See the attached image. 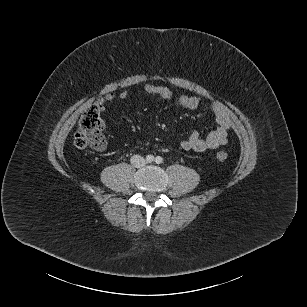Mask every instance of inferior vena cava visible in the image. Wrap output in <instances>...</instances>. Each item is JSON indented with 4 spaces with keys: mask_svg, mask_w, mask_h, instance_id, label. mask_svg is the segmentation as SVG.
Instances as JSON below:
<instances>
[{
    "mask_svg": "<svg viewBox=\"0 0 307 307\" xmlns=\"http://www.w3.org/2000/svg\"><path fill=\"white\" fill-rule=\"evenodd\" d=\"M131 164L136 167L140 168L146 164L145 159L141 155H133L131 157Z\"/></svg>",
    "mask_w": 307,
    "mask_h": 307,
    "instance_id": "602c4592",
    "label": "inferior vena cava"
}]
</instances>
